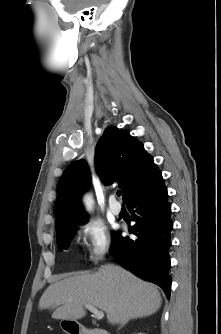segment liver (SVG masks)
Returning a JSON list of instances; mask_svg holds the SVG:
<instances>
[{"label":"liver","instance_id":"obj_1","mask_svg":"<svg viewBox=\"0 0 221 334\" xmlns=\"http://www.w3.org/2000/svg\"><path fill=\"white\" fill-rule=\"evenodd\" d=\"M157 287L114 264L97 271L67 277L51 284L39 301V309L54 310V319L75 321L93 305L106 313L111 324L146 317L161 306Z\"/></svg>","mask_w":221,"mask_h":334}]
</instances>
